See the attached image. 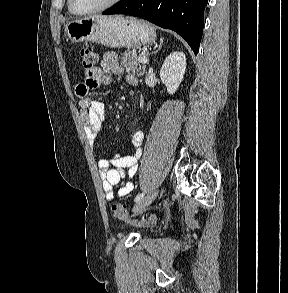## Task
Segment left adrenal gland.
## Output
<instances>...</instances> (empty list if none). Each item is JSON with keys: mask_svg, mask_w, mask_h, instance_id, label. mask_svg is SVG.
I'll use <instances>...</instances> for the list:
<instances>
[{"mask_svg": "<svg viewBox=\"0 0 288 293\" xmlns=\"http://www.w3.org/2000/svg\"><path fill=\"white\" fill-rule=\"evenodd\" d=\"M161 47H162V39H161V41H160V44L157 45V46H155V48H154V50L152 51V53L157 52Z\"/></svg>", "mask_w": 288, "mask_h": 293, "instance_id": "obj_1", "label": "left adrenal gland"}]
</instances>
